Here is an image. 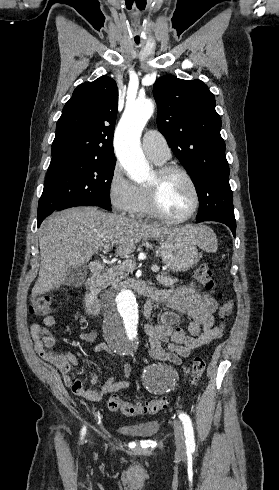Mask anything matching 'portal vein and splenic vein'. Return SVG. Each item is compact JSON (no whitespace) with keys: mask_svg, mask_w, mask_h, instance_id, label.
Instances as JSON below:
<instances>
[{"mask_svg":"<svg viewBox=\"0 0 279 490\" xmlns=\"http://www.w3.org/2000/svg\"><path fill=\"white\" fill-rule=\"evenodd\" d=\"M104 250H109V246H104ZM124 264H126V266H132V262H130V260H126ZM159 270L160 268H158V266H153L152 268V272H159Z\"/></svg>","mask_w":279,"mask_h":490,"instance_id":"1","label":"portal vein and splenic vein"}]
</instances>
